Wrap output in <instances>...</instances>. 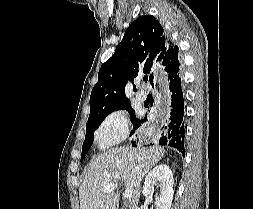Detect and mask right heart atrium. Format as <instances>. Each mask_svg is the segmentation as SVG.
Segmentation results:
<instances>
[{"mask_svg":"<svg viewBox=\"0 0 253 209\" xmlns=\"http://www.w3.org/2000/svg\"><path fill=\"white\" fill-rule=\"evenodd\" d=\"M129 134V119L122 110L109 113L100 123L94 134L95 143L102 150L120 144Z\"/></svg>","mask_w":253,"mask_h":209,"instance_id":"obj_1","label":"right heart atrium"}]
</instances>
